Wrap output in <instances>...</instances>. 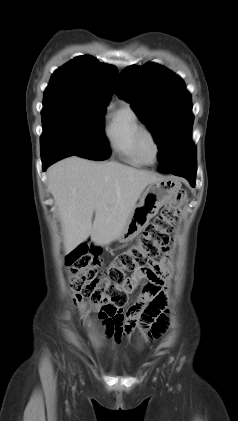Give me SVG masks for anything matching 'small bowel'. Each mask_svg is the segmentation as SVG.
<instances>
[{
    "mask_svg": "<svg viewBox=\"0 0 238 421\" xmlns=\"http://www.w3.org/2000/svg\"><path fill=\"white\" fill-rule=\"evenodd\" d=\"M172 266V254L167 251L158 261L132 274L134 288L142 284L140 295L123 315L116 310L109 322H104L106 331L116 342L135 328L149 330L152 336L161 333L167 324L166 279ZM133 288V289H134ZM96 308V307H95ZM88 309L86 308L85 311Z\"/></svg>",
    "mask_w": 238,
    "mask_h": 421,
    "instance_id": "small-bowel-1",
    "label": "small bowel"
}]
</instances>
